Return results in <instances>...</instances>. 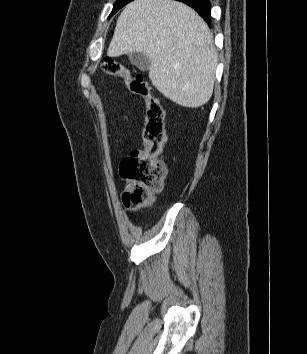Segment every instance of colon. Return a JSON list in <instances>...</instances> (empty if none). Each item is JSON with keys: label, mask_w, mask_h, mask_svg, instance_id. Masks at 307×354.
Instances as JSON below:
<instances>
[{"label": "colon", "mask_w": 307, "mask_h": 354, "mask_svg": "<svg viewBox=\"0 0 307 354\" xmlns=\"http://www.w3.org/2000/svg\"><path fill=\"white\" fill-rule=\"evenodd\" d=\"M102 69L125 83L133 94L144 99L146 105L143 149L123 159L120 166V174L127 181L122 194L123 205L130 211H136L152 204L165 177V166L159 160L165 139L164 110L141 74H134L113 58H106Z\"/></svg>", "instance_id": "colon-1"}]
</instances>
